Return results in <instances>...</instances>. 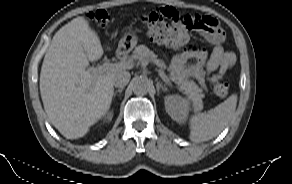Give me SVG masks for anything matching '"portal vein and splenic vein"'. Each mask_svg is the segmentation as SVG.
Returning <instances> with one entry per match:
<instances>
[{"label": "portal vein and splenic vein", "mask_w": 292, "mask_h": 184, "mask_svg": "<svg viewBox=\"0 0 292 184\" xmlns=\"http://www.w3.org/2000/svg\"><path fill=\"white\" fill-rule=\"evenodd\" d=\"M132 66H133V62L131 60L120 61L118 63L105 62L103 65L97 68L90 69V71L94 73H103V72L112 71L119 68H131ZM158 72H159L160 77L163 80H167V76L165 75L163 70L160 69Z\"/></svg>", "instance_id": "18ae733b"}]
</instances>
